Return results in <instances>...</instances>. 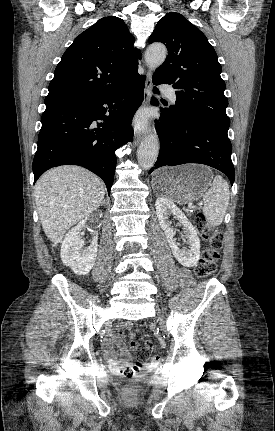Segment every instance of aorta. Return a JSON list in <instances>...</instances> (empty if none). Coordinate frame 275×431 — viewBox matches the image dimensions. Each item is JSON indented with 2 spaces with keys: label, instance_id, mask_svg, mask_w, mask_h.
Instances as JSON below:
<instances>
[{
  "label": "aorta",
  "instance_id": "obj_1",
  "mask_svg": "<svg viewBox=\"0 0 275 431\" xmlns=\"http://www.w3.org/2000/svg\"><path fill=\"white\" fill-rule=\"evenodd\" d=\"M166 56V47L162 44H154L147 48L145 61L150 69L155 70L165 61ZM158 153L159 142L157 137L153 135L146 137L137 152L139 165L145 170L152 168L157 160Z\"/></svg>",
  "mask_w": 275,
  "mask_h": 431
}]
</instances>
